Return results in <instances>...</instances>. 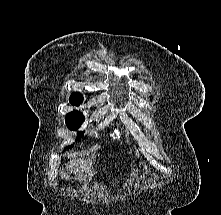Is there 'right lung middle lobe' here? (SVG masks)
<instances>
[{"label":"right lung middle lobe","mask_w":221,"mask_h":215,"mask_svg":"<svg viewBox=\"0 0 221 215\" xmlns=\"http://www.w3.org/2000/svg\"><path fill=\"white\" fill-rule=\"evenodd\" d=\"M83 121H84L83 114L79 111L75 110V111L70 112L66 115V124L70 130H77L81 126ZM82 137H83V133L79 132V135L76 138V140H78ZM72 146L73 145L69 146L68 148L71 149Z\"/></svg>","instance_id":"right-lung-middle-lobe-1"}]
</instances>
